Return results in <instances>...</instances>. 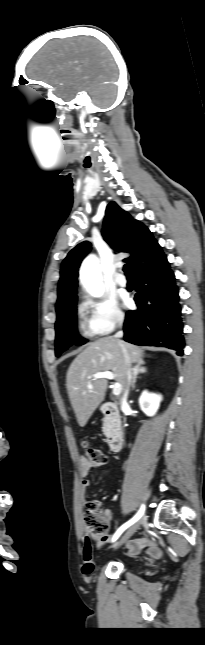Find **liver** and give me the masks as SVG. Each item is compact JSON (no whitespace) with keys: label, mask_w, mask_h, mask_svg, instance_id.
<instances>
[{"label":"liver","mask_w":205,"mask_h":645,"mask_svg":"<svg viewBox=\"0 0 205 645\" xmlns=\"http://www.w3.org/2000/svg\"><path fill=\"white\" fill-rule=\"evenodd\" d=\"M143 361V348L105 337L87 344L86 348L73 360L66 376L68 396L78 424L84 427L95 409L103 402L107 388V378L93 379L98 372L110 371L122 389L127 386L128 363ZM88 384L92 388H88Z\"/></svg>","instance_id":"6515ba94"}]
</instances>
